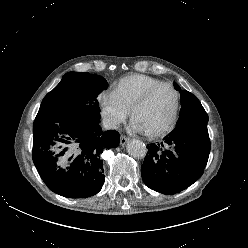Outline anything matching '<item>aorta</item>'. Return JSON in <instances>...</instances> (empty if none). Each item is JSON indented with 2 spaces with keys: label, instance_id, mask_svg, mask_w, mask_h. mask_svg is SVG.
Segmentation results:
<instances>
[{
  "label": "aorta",
  "instance_id": "762f6f07",
  "mask_svg": "<svg viewBox=\"0 0 248 248\" xmlns=\"http://www.w3.org/2000/svg\"><path fill=\"white\" fill-rule=\"evenodd\" d=\"M127 152L134 158H144L147 148L142 141L133 139L127 144Z\"/></svg>",
  "mask_w": 248,
  "mask_h": 248
}]
</instances>
